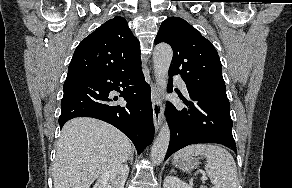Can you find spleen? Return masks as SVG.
<instances>
[{
    "instance_id": "1",
    "label": "spleen",
    "mask_w": 292,
    "mask_h": 188,
    "mask_svg": "<svg viewBox=\"0 0 292 188\" xmlns=\"http://www.w3.org/2000/svg\"><path fill=\"white\" fill-rule=\"evenodd\" d=\"M203 155L207 158L205 170L210 177L212 188H237L238 174L232 155L216 144H193L178 151L174 158Z\"/></svg>"
}]
</instances>
